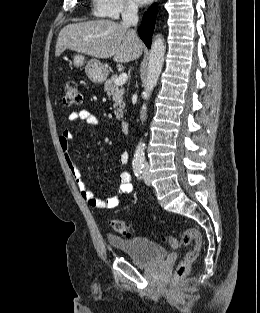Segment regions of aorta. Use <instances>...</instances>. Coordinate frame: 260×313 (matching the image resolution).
Listing matches in <instances>:
<instances>
[{
  "label": "aorta",
  "instance_id": "762f6f07",
  "mask_svg": "<svg viewBox=\"0 0 260 313\" xmlns=\"http://www.w3.org/2000/svg\"><path fill=\"white\" fill-rule=\"evenodd\" d=\"M165 43L163 37L157 35L152 42L149 60H148V69L147 77L144 85V91L142 96L144 99H149L151 92L156 86L159 76L162 71L164 56H165ZM141 119L145 121L146 119V106H143L141 112ZM145 160V144L140 141L134 152V163L141 164Z\"/></svg>",
  "mask_w": 260,
  "mask_h": 313
}]
</instances>
